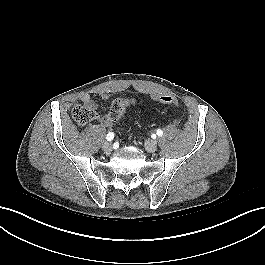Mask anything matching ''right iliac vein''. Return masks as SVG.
<instances>
[{
	"label": "right iliac vein",
	"mask_w": 265,
	"mask_h": 265,
	"mask_svg": "<svg viewBox=\"0 0 265 265\" xmlns=\"http://www.w3.org/2000/svg\"><path fill=\"white\" fill-rule=\"evenodd\" d=\"M102 149L105 153H110L112 151V144L110 142H105L103 145H102Z\"/></svg>",
	"instance_id": "1"
}]
</instances>
